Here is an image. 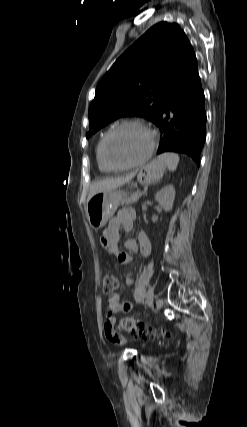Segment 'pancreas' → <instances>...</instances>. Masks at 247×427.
I'll list each match as a JSON object with an SVG mask.
<instances>
[{
	"mask_svg": "<svg viewBox=\"0 0 247 427\" xmlns=\"http://www.w3.org/2000/svg\"><path fill=\"white\" fill-rule=\"evenodd\" d=\"M142 196L141 192L137 191L128 196L127 198L123 199L122 204H134L136 203L139 198Z\"/></svg>",
	"mask_w": 247,
	"mask_h": 427,
	"instance_id": "1",
	"label": "pancreas"
}]
</instances>
